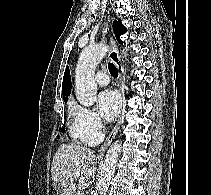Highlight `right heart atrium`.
<instances>
[{"label":"right heart atrium","mask_w":211,"mask_h":195,"mask_svg":"<svg viewBox=\"0 0 211 195\" xmlns=\"http://www.w3.org/2000/svg\"><path fill=\"white\" fill-rule=\"evenodd\" d=\"M74 115L79 133L85 142L93 144L101 139L103 123L95 111L76 105Z\"/></svg>","instance_id":"obj_1"}]
</instances>
